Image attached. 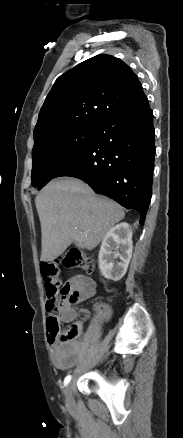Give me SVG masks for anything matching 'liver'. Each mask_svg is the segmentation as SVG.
<instances>
[{
  "mask_svg": "<svg viewBox=\"0 0 183 438\" xmlns=\"http://www.w3.org/2000/svg\"><path fill=\"white\" fill-rule=\"evenodd\" d=\"M41 224V261H53L71 243L94 249L125 216L113 200L97 196L85 182L63 177L52 180L36 196Z\"/></svg>",
  "mask_w": 183,
  "mask_h": 438,
  "instance_id": "obj_1",
  "label": "liver"
}]
</instances>
